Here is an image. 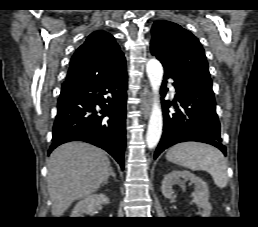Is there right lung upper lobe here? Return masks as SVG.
Wrapping results in <instances>:
<instances>
[{
  "mask_svg": "<svg viewBox=\"0 0 258 227\" xmlns=\"http://www.w3.org/2000/svg\"><path fill=\"white\" fill-rule=\"evenodd\" d=\"M120 65H126V61L114 37L95 31L72 56L66 80L101 75Z\"/></svg>",
  "mask_w": 258,
  "mask_h": 227,
  "instance_id": "1",
  "label": "right lung upper lobe"
}]
</instances>
